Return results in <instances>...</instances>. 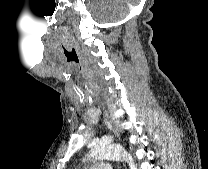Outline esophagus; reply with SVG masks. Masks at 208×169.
Returning a JSON list of instances; mask_svg holds the SVG:
<instances>
[{
    "label": "esophagus",
    "mask_w": 208,
    "mask_h": 169,
    "mask_svg": "<svg viewBox=\"0 0 208 169\" xmlns=\"http://www.w3.org/2000/svg\"><path fill=\"white\" fill-rule=\"evenodd\" d=\"M104 123L106 124V126L110 129L113 130V132L115 133V135L117 134L118 136V132H116V130L114 129V124L112 123V121L109 119L108 113L107 111H104ZM125 167V164H123Z\"/></svg>",
    "instance_id": "1"
}]
</instances>
